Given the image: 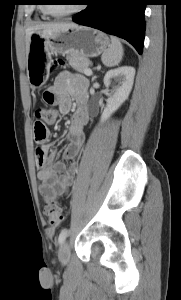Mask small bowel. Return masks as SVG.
I'll use <instances>...</instances> for the list:
<instances>
[{
	"label": "small bowel",
	"instance_id": "1",
	"mask_svg": "<svg viewBox=\"0 0 181 300\" xmlns=\"http://www.w3.org/2000/svg\"><path fill=\"white\" fill-rule=\"evenodd\" d=\"M87 88L88 82L83 76L62 72L47 90L54 95L53 104L58 106L61 114L69 112L72 97L76 110L69 122L68 143L63 151V159L70 161V165L67 166L63 160L57 159L56 151L49 144L36 150L37 164L40 167L37 173L41 181L39 191L45 200L66 194L74 183L78 170L76 159L84 146V128L90 119ZM44 101L47 102L45 98ZM39 158L42 159L41 162L38 161Z\"/></svg>",
	"mask_w": 181,
	"mask_h": 300
}]
</instances>
